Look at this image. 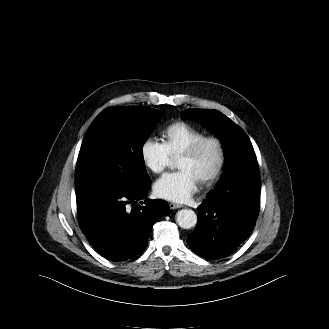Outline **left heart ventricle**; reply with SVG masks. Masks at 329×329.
Returning a JSON list of instances; mask_svg holds the SVG:
<instances>
[{"instance_id":"1","label":"left heart ventricle","mask_w":329,"mask_h":329,"mask_svg":"<svg viewBox=\"0 0 329 329\" xmlns=\"http://www.w3.org/2000/svg\"><path fill=\"white\" fill-rule=\"evenodd\" d=\"M216 161V147L209 143L206 144L194 157H179L177 166L180 170H189L198 180H200L203 176L207 175L213 170Z\"/></svg>"}]
</instances>
